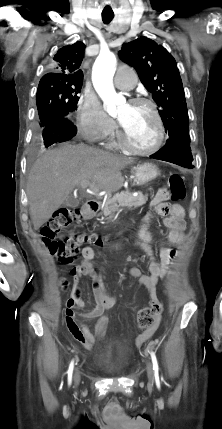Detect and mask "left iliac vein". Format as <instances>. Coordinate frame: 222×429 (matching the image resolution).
Returning a JSON list of instances; mask_svg holds the SVG:
<instances>
[{"label":"left iliac vein","instance_id":"obj_1","mask_svg":"<svg viewBox=\"0 0 222 429\" xmlns=\"http://www.w3.org/2000/svg\"><path fill=\"white\" fill-rule=\"evenodd\" d=\"M147 375L150 383L154 382V371L152 368V364L149 360H147Z\"/></svg>","mask_w":222,"mask_h":429}]
</instances>
